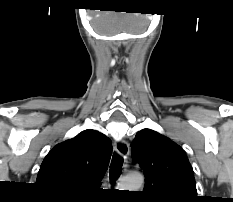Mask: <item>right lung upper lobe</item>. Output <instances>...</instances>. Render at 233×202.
Listing matches in <instances>:
<instances>
[{"label": "right lung upper lobe", "mask_w": 233, "mask_h": 202, "mask_svg": "<svg viewBox=\"0 0 233 202\" xmlns=\"http://www.w3.org/2000/svg\"><path fill=\"white\" fill-rule=\"evenodd\" d=\"M111 154L108 137L92 129L84 130L47 154L36 183L55 195H84L101 185Z\"/></svg>", "instance_id": "obj_1"}]
</instances>
